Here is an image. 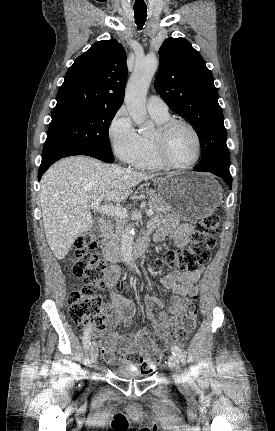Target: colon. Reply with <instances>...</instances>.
<instances>
[{
    "label": "colon",
    "instance_id": "1",
    "mask_svg": "<svg viewBox=\"0 0 275 431\" xmlns=\"http://www.w3.org/2000/svg\"><path fill=\"white\" fill-rule=\"evenodd\" d=\"M218 230L219 218L217 215L211 214L198 220L189 247L167 250L163 257L155 262V266L186 272L196 271L199 266L208 261L210 251L216 243L215 236ZM96 249L97 240L94 234L85 233L76 239L72 272L76 277L83 278L84 286L70 292L67 304L69 315L75 323L93 330H103L107 323V313L103 299L96 293V289H109V286L105 280L106 262ZM116 288L120 291L125 290L127 284L120 281ZM198 313V305L193 301L189 304L177 327L165 333L151 334V345L145 353L132 357L140 370L146 373L152 372L160 363L163 352L170 345L184 341L194 331Z\"/></svg>",
    "mask_w": 275,
    "mask_h": 431
}]
</instances>
